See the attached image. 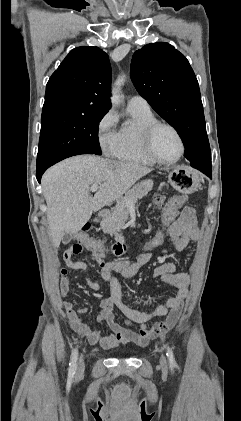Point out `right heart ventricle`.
<instances>
[{
  "label": "right heart ventricle",
  "mask_w": 241,
  "mask_h": 421,
  "mask_svg": "<svg viewBox=\"0 0 241 421\" xmlns=\"http://www.w3.org/2000/svg\"><path fill=\"white\" fill-rule=\"evenodd\" d=\"M131 123L123 125L116 133L112 156L124 162L154 165L155 162L143 148L144 129L157 121L151 110L128 108Z\"/></svg>",
  "instance_id": "obj_1"
}]
</instances>
